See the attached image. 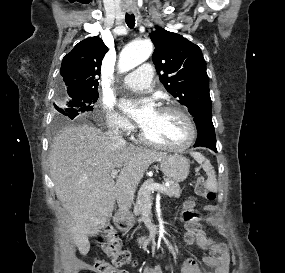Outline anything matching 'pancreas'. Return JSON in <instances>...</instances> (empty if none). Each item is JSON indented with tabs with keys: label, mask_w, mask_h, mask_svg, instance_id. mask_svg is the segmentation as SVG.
I'll return each instance as SVG.
<instances>
[{
	"label": "pancreas",
	"mask_w": 285,
	"mask_h": 273,
	"mask_svg": "<svg viewBox=\"0 0 285 273\" xmlns=\"http://www.w3.org/2000/svg\"><path fill=\"white\" fill-rule=\"evenodd\" d=\"M165 181L168 182L169 185L165 186L167 188V190L164 191V194L166 196H169V197H179L180 193H181V189H180L179 184L173 180H170V179H166ZM152 183H154V181L152 179L147 180L144 183L143 187L140 188V190L138 191L137 201H136V204L134 206V214L135 215H142L143 212L146 210V206L149 203H151L152 191L145 188V186L150 185Z\"/></svg>",
	"instance_id": "cf45deb5"
}]
</instances>
